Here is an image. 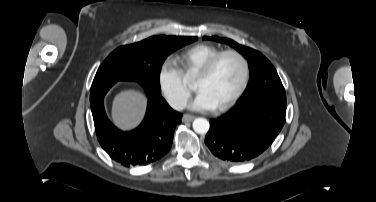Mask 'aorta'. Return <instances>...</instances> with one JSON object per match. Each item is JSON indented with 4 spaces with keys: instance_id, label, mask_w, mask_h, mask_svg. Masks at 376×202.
Wrapping results in <instances>:
<instances>
[{
    "instance_id": "762f6f07",
    "label": "aorta",
    "mask_w": 376,
    "mask_h": 202,
    "mask_svg": "<svg viewBox=\"0 0 376 202\" xmlns=\"http://www.w3.org/2000/svg\"><path fill=\"white\" fill-rule=\"evenodd\" d=\"M209 121L205 118H196L193 121V129L198 134H206L209 130Z\"/></svg>"
}]
</instances>
